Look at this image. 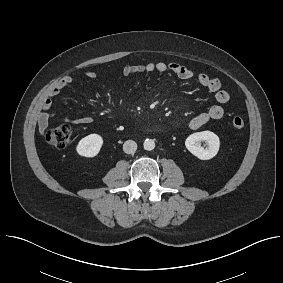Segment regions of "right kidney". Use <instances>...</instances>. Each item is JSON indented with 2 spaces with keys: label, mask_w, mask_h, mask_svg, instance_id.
<instances>
[{
  "label": "right kidney",
  "mask_w": 283,
  "mask_h": 283,
  "mask_svg": "<svg viewBox=\"0 0 283 283\" xmlns=\"http://www.w3.org/2000/svg\"><path fill=\"white\" fill-rule=\"evenodd\" d=\"M103 145V138L98 134H90L82 138L76 146V151L83 157H95Z\"/></svg>",
  "instance_id": "1"
}]
</instances>
